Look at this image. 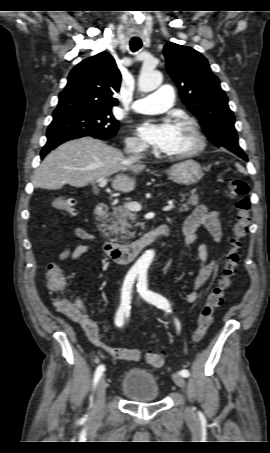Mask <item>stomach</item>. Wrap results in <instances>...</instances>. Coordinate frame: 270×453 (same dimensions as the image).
Listing matches in <instances>:
<instances>
[{
	"mask_svg": "<svg viewBox=\"0 0 270 453\" xmlns=\"http://www.w3.org/2000/svg\"><path fill=\"white\" fill-rule=\"evenodd\" d=\"M169 179L181 185H194L203 177L200 164L194 160H186L174 164L167 170Z\"/></svg>",
	"mask_w": 270,
	"mask_h": 453,
	"instance_id": "1",
	"label": "stomach"
}]
</instances>
